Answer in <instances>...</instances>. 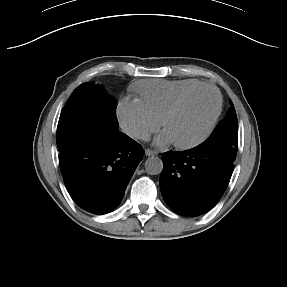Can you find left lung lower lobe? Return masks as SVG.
<instances>
[{"instance_id": "obj_1", "label": "left lung lower lobe", "mask_w": 287, "mask_h": 287, "mask_svg": "<svg viewBox=\"0 0 287 287\" xmlns=\"http://www.w3.org/2000/svg\"><path fill=\"white\" fill-rule=\"evenodd\" d=\"M162 161V196L172 210L188 217L217 204L234 169L225 153L205 142L186 151H168Z\"/></svg>"}]
</instances>
